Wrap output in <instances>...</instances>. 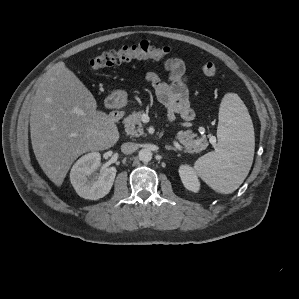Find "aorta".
I'll return each instance as SVG.
<instances>
[{
	"label": "aorta",
	"instance_id": "762f6f07",
	"mask_svg": "<svg viewBox=\"0 0 299 299\" xmlns=\"http://www.w3.org/2000/svg\"><path fill=\"white\" fill-rule=\"evenodd\" d=\"M152 152L149 149H141L138 157L142 162H149L152 159Z\"/></svg>",
	"mask_w": 299,
	"mask_h": 299
}]
</instances>
